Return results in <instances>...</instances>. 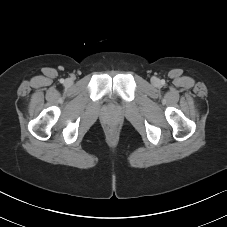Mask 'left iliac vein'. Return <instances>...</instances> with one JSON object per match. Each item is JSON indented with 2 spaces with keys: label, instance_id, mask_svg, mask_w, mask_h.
Masks as SVG:
<instances>
[{
  "label": "left iliac vein",
  "instance_id": "4c4485c4",
  "mask_svg": "<svg viewBox=\"0 0 227 227\" xmlns=\"http://www.w3.org/2000/svg\"><path fill=\"white\" fill-rule=\"evenodd\" d=\"M153 83H154L155 85H157V84H158V80H157V79H153Z\"/></svg>",
  "mask_w": 227,
  "mask_h": 227
}]
</instances>
